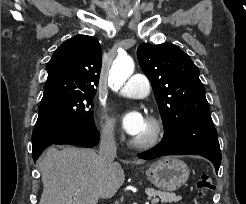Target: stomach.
<instances>
[{"label": "stomach", "mask_w": 246, "mask_h": 204, "mask_svg": "<svg viewBox=\"0 0 246 204\" xmlns=\"http://www.w3.org/2000/svg\"><path fill=\"white\" fill-rule=\"evenodd\" d=\"M145 174L155 187L175 191L186 183L190 171L184 161L176 157H164L151 164Z\"/></svg>", "instance_id": "stomach-1"}]
</instances>
